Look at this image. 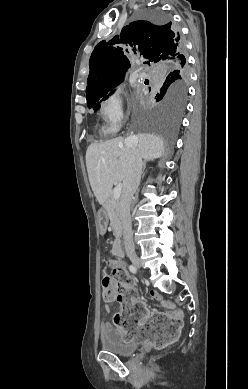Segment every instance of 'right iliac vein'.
Instances as JSON below:
<instances>
[{
    "instance_id": "1",
    "label": "right iliac vein",
    "mask_w": 248,
    "mask_h": 389,
    "mask_svg": "<svg viewBox=\"0 0 248 389\" xmlns=\"http://www.w3.org/2000/svg\"><path fill=\"white\" fill-rule=\"evenodd\" d=\"M130 260L132 261V263L136 267H140L141 266V260L139 259V257L136 254L130 255Z\"/></svg>"
}]
</instances>
